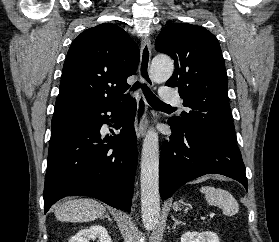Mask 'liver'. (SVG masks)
<instances>
[{"label":"liver","instance_id":"6515ba94","mask_svg":"<svg viewBox=\"0 0 279 242\" xmlns=\"http://www.w3.org/2000/svg\"><path fill=\"white\" fill-rule=\"evenodd\" d=\"M106 209L93 199L80 198L65 201L55 211V217L62 222H88L102 218Z\"/></svg>","mask_w":279,"mask_h":242}]
</instances>
